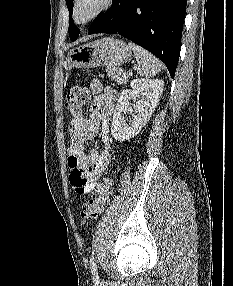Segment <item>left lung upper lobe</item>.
I'll list each match as a JSON object with an SVG mask.
<instances>
[{
	"mask_svg": "<svg viewBox=\"0 0 233 286\" xmlns=\"http://www.w3.org/2000/svg\"><path fill=\"white\" fill-rule=\"evenodd\" d=\"M73 1L74 0H66V5L69 10V15L72 16L73 9ZM79 36V29L74 25L72 18L69 20V37L71 41H75Z\"/></svg>",
	"mask_w": 233,
	"mask_h": 286,
	"instance_id": "5c2ea615",
	"label": "left lung upper lobe"
}]
</instances>
